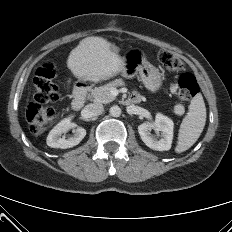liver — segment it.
<instances>
[{
    "label": "liver",
    "instance_id": "liver-1",
    "mask_svg": "<svg viewBox=\"0 0 232 232\" xmlns=\"http://www.w3.org/2000/svg\"><path fill=\"white\" fill-rule=\"evenodd\" d=\"M67 67L78 79L97 83L121 72L123 60L106 39L91 36L70 52Z\"/></svg>",
    "mask_w": 232,
    "mask_h": 232
}]
</instances>
